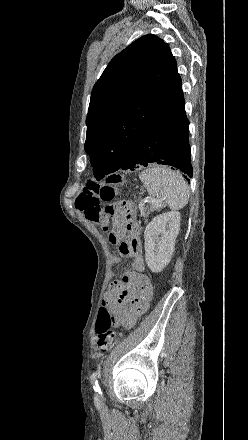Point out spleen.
Here are the masks:
<instances>
[{"label":"spleen","mask_w":248,"mask_h":440,"mask_svg":"<svg viewBox=\"0 0 248 440\" xmlns=\"http://www.w3.org/2000/svg\"><path fill=\"white\" fill-rule=\"evenodd\" d=\"M149 195L158 202H165L172 210L186 206L189 189L184 179L175 171L164 166H152L139 174Z\"/></svg>","instance_id":"1"}]
</instances>
